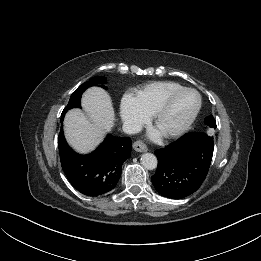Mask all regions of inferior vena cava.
<instances>
[{"label":"inferior vena cava","mask_w":261,"mask_h":261,"mask_svg":"<svg viewBox=\"0 0 261 261\" xmlns=\"http://www.w3.org/2000/svg\"><path fill=\"white\" fill-rule=\"evenodd\" d=\"M123 131L127 134H136L141 131V126L134 122H124Z\"/></svg>","instance_id":"obj_1"}]
</instances>
